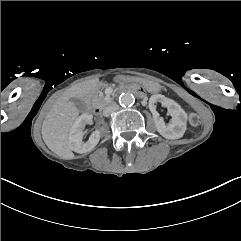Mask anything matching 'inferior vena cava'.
Listing matches in <instances>:
<instances>
[{
  "label": "inferior vena cava",
  "instance_id": "602c4592",
  "mask_svg": "<svg viewBox=\"0 0 241 241\" xmlns=\"http://www.w3.org/2000/svg\"><path fill=\"white\" fill-rule=\"evenodd\" d=\"M118 109H119V106L117 104H111L103 110V115L108 117L110 116V114L117 111Z\"/></svg>",
  "mask_w": 241,
  "mask_h": 241
}]
</instances>
